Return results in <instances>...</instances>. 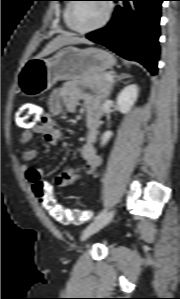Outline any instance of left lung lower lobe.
Wrapping results in <instances>:
<instances>
[{"mask_svg": "<svg viewBox=\"0 0 180 299\" xmlns=\"http://www.w3.org/2000/svg\"><path fill=\"white\" fill-rule=\"evenodd\" d=\"M117 5L108 25L86 35L121 57L141 63L155 75L159 59L158 38L161 3L164 0H112Z\"/></svg>", "mask_w": 180, "mask_h": 299, "instance_id": "left-lung-lower-lobe-1", "label": "left lung lower lobe"}]
</instances>
